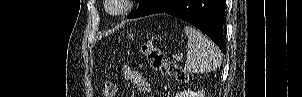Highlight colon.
I'll use <instances>...</instances> for the list:
<instances>
[{
  "mask_svg": "<svg viewBox=\"0 0 302 97\" xmlns=\"http://www.w3.org/2000/svg\"><path fill=\"white\" fill-rule=\"evenodd\" d=\"M141 49L146 55L152 69L175 78L178 82L186 83L188 81L189 77L185 70L177 64L165 60L162 53L151 42H144ZM102 92L104 97H114L116 94L115 83L111 81L104 82Z\"/></svg>",
  "mask_w": 302,
  "mask_h": 97,
  "instance_id": "5ec220e1",
  "label": "colon"
}]
</instances>
